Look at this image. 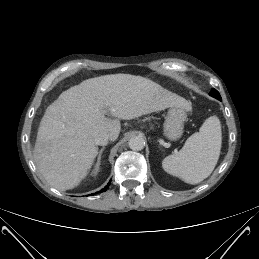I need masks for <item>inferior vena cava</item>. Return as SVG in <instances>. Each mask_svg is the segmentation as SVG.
Here are the masks:
<instances>
[{
  "label": "inferior vena cava",
  "instance_id": "inferior-vena-cava-1",
  "mask_svg": "<svg viewBox=\"0 0 259 259\" xmlns=\"http://www.w3.org/2000/svg\"><path fill=\"white\" fill-rule=\"evenodd\" d=\"M109 140L110 134L107 132H102L95 137L94 142L96 145L105 146L108 144Z\"/></svg>",
  "mask_w": 259,
  "mask_h": 259
}]
</instances>
